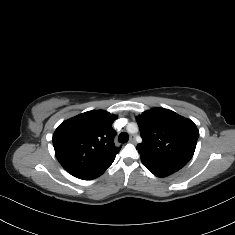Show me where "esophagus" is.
<instances>
[{"mask_svg":"<svg viewBox=\"0 0 235 235\" xmlns=\"http://www.w3.org/2000/svg\"><path fill=\"white\" fill-rule=\"evenodd\" d=\"M129 142H130V143H134V142H135V137H134V135H131V136H130Z\"/></svg>","mask_w":235,"mask_h":235,"instance_id":"esophagus-1","label":"esophagus"}]
</instances>
